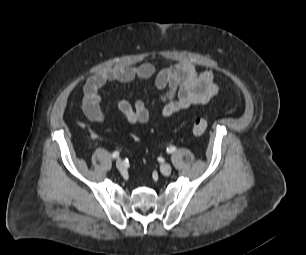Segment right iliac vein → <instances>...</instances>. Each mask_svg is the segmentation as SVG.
<instances>
[{"label": "right iliac vein", "mask_w": 306, "mask_h": 255, "mask_svg": "<svg viewBox=\"0 0 306 255\" xmlns=\"http://www.w3.org/2000/svg\"><path fill=\"white\" fill-rule=\"evenodd\" d=\"M116 167L118 170L123 171L125 169V163L121 159H117Z\"/></svg>", "instance_id": "63e3f726"}]
</instances>
